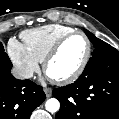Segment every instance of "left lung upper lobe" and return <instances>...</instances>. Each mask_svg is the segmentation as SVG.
Instances as JSON below:
<instances>
[{"instance_id":"5c2ea615","label":"left lung upper lobe","mask_w":119,"mask_h":119,"mask_svg":"<svg viewBox=\"0 0 119 119\" xmlns=\"http://www.w3.org/2000/svg\"><path fill=\"white\" fill-rule=\"evenodd\" d=\"M85 34L88 36L89 40L93 43L95 50L92 52V57L90 58L89 62H92L96 58L103 55L106 51L113 48L108 43L98 39L95 37L91 32L84 29Z\"/></svg>"}]
</instances>
